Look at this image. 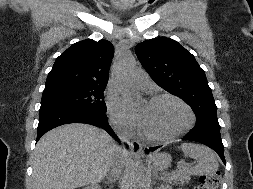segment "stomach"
Returning a JSON list of instances; mask_svg holds the SVG:
<instances>
[{
	"instance_id": "0dacf381",
	"label": "stomach",
	"mask_w": 253,
	"mask_h": 189,
	"mask_svg": "<svg viewBox=\"0 0 253 189\" xmlns=\"http://www.w3.org/2000/svg\"><path fill=\"white\" fill-rule=\"evenodd\" d=\"M171 161V156L167 153H157L151 158L152 165L156 170L167 169L170 166Z\"/></svg>"
}]
</instances>
